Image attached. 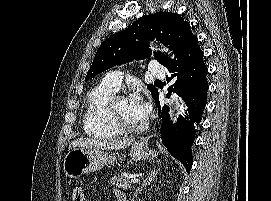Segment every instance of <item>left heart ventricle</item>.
<instances>
[{
  "instance_id": "b2bd125f",
  "label": "left heart ventricle",
  "mask_w": 271,
  "mask_h": 201,
  "mask_svg": "<svg viewBox=\"0 0 271 201\" xmlns=\"http://www.w3.org/2000/svg\"><path fill=\"white\" fill-rule=\"evenodd\" d=\"M115 111L119 115V117L125 122L132 125H139L143 122V120L138 119L132 112L127 99L120 100L115 105Z\"/></svg>"
}]
</instances>
